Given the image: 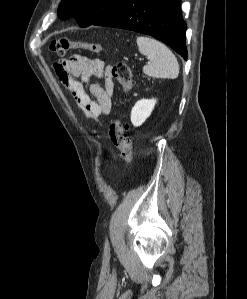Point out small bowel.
<instances>
[{
	"label": "small bowel",
	"mask_w": 247,
	"mask_h": 299,
	"mask_svg": "<svg viewBox=\"0 0 247 299\" xmlns=\"http://www.w3.org/2000/svg\"><path fill=\"white\" fill-rule=\"evenodd\" d=\"M54 67L60 82L88 117L98 119L111 112L114 84L103 60L73 55L59 60ZM93 76L104 79V86L90 82Z\"/></svg>",
	"instance_id": "obj_1"
}]
</instances>
